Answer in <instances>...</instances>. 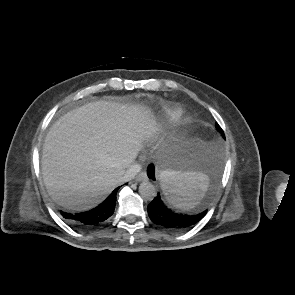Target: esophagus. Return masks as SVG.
Instances as JSON below:
<instances>
[{"instance_id": "esophagus-1", "label": "esophagus", "mask_w": 295, "mask_h": 295, "mask_svg": "<svg viewBox=\"0 0 295 295\" xmlns=\"http://www.w3.org/2000/svg\"><path fill=\"white\" fill-rule=\"evenodd\" d=\"M147 179H148V176H147L146 172H141L136 176L137 181H144Z\"/></svg>"}]
</instances>
